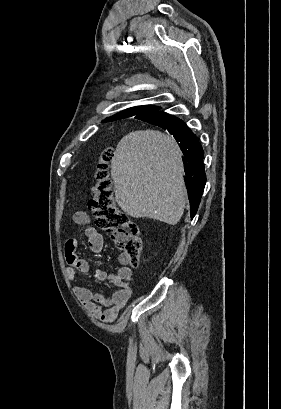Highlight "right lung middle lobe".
Masks as SVG:
<instances>
[{"mask_svg":"<svg viewBox=\"0 0 281 409\" xmlns=\"http://www.w3.org/2000/svg\"><path fill=\"white\" fill-rule=\"evenodd\" d=\"M177 121H179V119L172 116H161L149 119L147 122L162 127L164 129Z\"/></svg>","mask_w":281,"mask_h":409,"instance_id":"right-lung-middle-lobe-1","label":"right lung middle lobe"}]
</instances>
